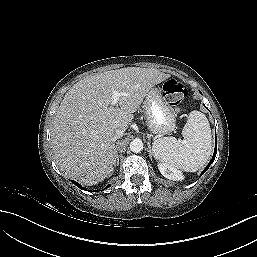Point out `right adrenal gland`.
<instances>
[{"instance_id": "1", "label": "right adrenal gland", "mask_w": 257, "mask_h": 257, "mask_svg": "<svg viewBox=\"0 0 257 257\" xmlns=\"http://www.w3.org/2000/svg\"><path fill=\"white\" fill-rule=\"evenodd\" d=\"M115 156H116V159H117V166L119 165V156H118V152L116 151V148H115Z\"/></svg>"}]
</instances>
